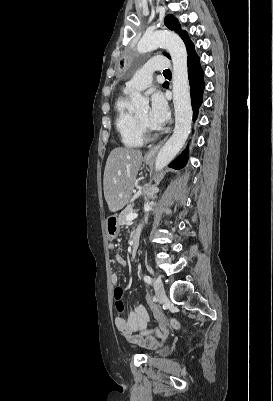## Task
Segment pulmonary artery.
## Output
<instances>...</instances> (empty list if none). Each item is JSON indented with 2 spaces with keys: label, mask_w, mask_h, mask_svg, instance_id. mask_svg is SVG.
Listing matches in <instances>:
<instances>
[{
  "label": "pulmonary artery",
  "mask_w": 273,
  "mask_h": 401,
  "mask_svg": "<svg viewBox=\"0 0 273 401\" xmlns=\"http://www.w3.org/2000/svg\"><path fill=\"white\" fill-rule=\"evenodd\" d=\"M168 64L169 59L167 57H151L149 63H146L144 65V68H139L137 71L138 76L136 77V80L139 82V88L137 89H147L149 83L153 81L152 72H160L161 70L165 71ZM134 86L135 83L133 81H130L128 83L126 91L128 93H131Z\"/></svg>",
  "instance_id": "e3ab8cb5"
}]
</instances>
